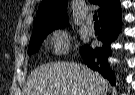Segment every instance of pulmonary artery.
<instances>
[{"label": "pulmonary artery", "mask_w": 135, "mask_h": 95, "mask_svg": "<svg viewBox=\"0 0 135 95\" xmlns=\"http://www.w3.org/2000/svg\"><path fill=\"white\" fill-rule=\"evenodd\" d=\"M86 31H87L88 34H93V33H94V27H93V25L91 24L90 19H89V21H88V25H87V27H86Z\"/></svg>", "instance_id": "1"}]
</instances>
